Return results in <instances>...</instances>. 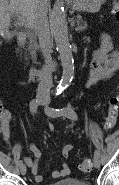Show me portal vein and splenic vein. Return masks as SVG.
<instances>
[{
	"instance_id": "18ae733b",
	"label": "portal vein and splenic vein",
	"mask_w": 119,
	"mask_h": 185,
	"mask_svg": "<svg viewBox=\"0 0 119 185\" xmlns=\"http://www.w3.org/2000/svg\"><path fill=\"white\" fill-rule=\"evenodd\" d=\"M19 24H20V25H24L23 21H20Z\"/></svg>"
}]
</instances>
